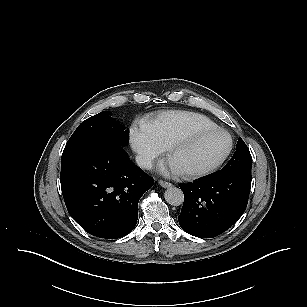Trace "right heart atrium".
<instances>
[{
	"instance_id": "right-heart-atrium-1",
	"label": "right heart atrium",
	"mask_w": 307,
	"mask_h": 307,
	"mask_svg": "<svg viewBox=\"0 0 307 307\" xmlns=\"http://www.w3.org/2000/svg\"><path fill=\"white\" fill-rule=\"evenodd\" d=\"M129 140L139 165L146 169L151 168L164 151L145 125L132 127L129 131Z\"/></svg>"
}]
</instances>
